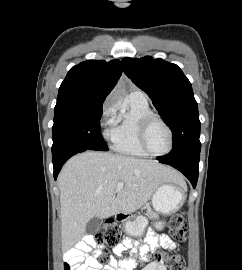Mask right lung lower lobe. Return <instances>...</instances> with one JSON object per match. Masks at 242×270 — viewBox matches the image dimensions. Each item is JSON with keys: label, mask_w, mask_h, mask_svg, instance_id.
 <instances>
[{"label": "right lung lower lobe", "mask_w": 242, "mask_h": 270, "mask_svg": "<svg viewBox=\"0 0 242 270\" xmlns=\"http://www.w3.org/2000/svg\"><path fill=\"white\" fill-rule=\"evenodd\" d=\"M87 149H81V150H75V151H71V152H67L64 153L62 155H60L57 158L53 159V166H54V178L56 179L58 176V173L60 172L63 164L73 155L79 153V152H83L86 151Z\"/></svg>", "instance_id": "right-lung-lower-lobe-1"}]
</instances>
